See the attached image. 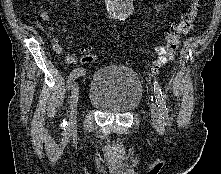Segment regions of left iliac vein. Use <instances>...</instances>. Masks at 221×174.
<instances>
[{
    "label": "left iliac vein",
    "instance_id": "obj_1",
    "mask_svg": "<svg viewBox=\"0 0 221 174\" xmlns=\"http://www.w3.org/2000/svg\"><path fill=\"white\" fill-rule=\"evenodd\" d=\"M151 119L154 128H158L160 125V115L155 103L151 104Z\"/></svg>",
    "mask_w": 221,
    "mask_h": 174
}]
</instances>
